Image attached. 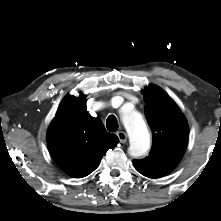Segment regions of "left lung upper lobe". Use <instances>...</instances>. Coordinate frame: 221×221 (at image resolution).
Returning <instances> with one entry per match:
<instances>
[{
    "label": "left lung upper lobe",
    "instance_id": "1",
    "mask_svg": "<svg viewBox=\"0 0 221 221\" xmlns=\"http://www.w3.org/2000/svg\"><path fill=\"white\" fill-rule=\"evenodd\" d=\"M145 115L152 130V148L135 168L149 178L170 173L182 159L188 142V123L176 103L159 87L143 90Z\"/></svg>",
    "mask_w": 221,
    "mask_h": 221
}]
</instances>
